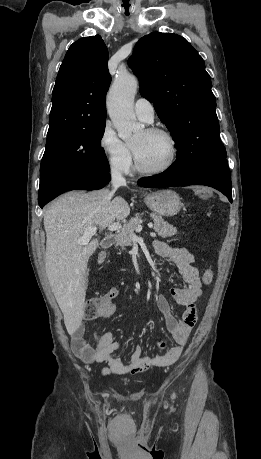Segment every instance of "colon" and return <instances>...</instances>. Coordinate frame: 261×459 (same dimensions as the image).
<instances>
[{"mask_svg": "<svg viewBox=\"0 0 261 459\" xmlns=\"http://www.w3.org/2000/svg\"><path fill=\"white\" fill-rule=\"evenodd\" d=\"M197 197H214V188H197ZM98 261L103 263L105 261V255L100 254L98 256ZM202 279L205 285H210L213 280V271L207 269ZM111 298L112 294L108 291L89 298L85 306V318L92 320L98 317L101 309L108 305Z\"/></svg>", "mask_w": 261, "mask_h": 459, "instance_id": "colon-1", "label": "colon"}]
</instances>
